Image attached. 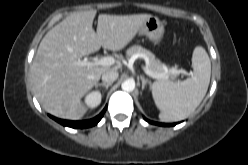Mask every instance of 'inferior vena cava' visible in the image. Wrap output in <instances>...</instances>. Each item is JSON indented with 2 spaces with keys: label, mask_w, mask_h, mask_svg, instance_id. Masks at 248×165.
Instances as JSON below:
<instances>
[{
  "label": "inferior vena cava",
  "mask_w": 248,
  "mask_h": 165,
  "mask_svg": "<svg viewBox=\"0 0 248 165\" xmlns=\"http://www.w3.org/2000/svg\"><path fill=\"white\" fill-rule=\"evenodd\" d=\"M118 78V72L110 69L102 74V81L104 83H113Z\"/></svg>",
  "instance_id": "1"
}]
</instances>
